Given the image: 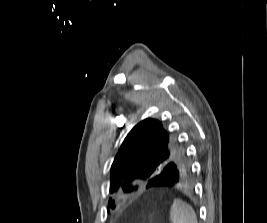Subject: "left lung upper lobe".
<instances>
[{
  "label": "left lung upper lobe",
  "mask_w": 267,
  "mask_h": 223,
  "mask_svg": "<svg viewBox=\"0 0 267 223\" xmlns=\"http://www.w3.org/2000/svg\"><path fill=\"white\" fill-rule=\"evenodd\" d=\"M191 171L183 147L167 127L147 118L127 135L111 167L110 193L137 190V181L150 182L153 173ZM108 208H115L109 199Z\"/></svg>",
  "instance_id": "obj_1"
}]
</instances>
